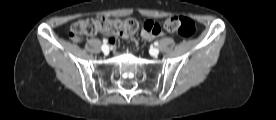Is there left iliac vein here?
<instances>
[{
	"label": "left iliac vein",
	"mask_w": 276,
	"mask_h": 120,
	"mask_svg": "<svg viewBox=\"0 0 276 120\" xmlns=\"http://www.w3.org/2000/svg\"><path fill=\"white\" fill-rule=\"evenodd\" d=\"M150 53H151V55L152 56H158V54H159V50L157 49V48H152L151 50H150Z\"/></svg>",
	"instance_id": "left-iliac-vein-1"
}]
</instances>
